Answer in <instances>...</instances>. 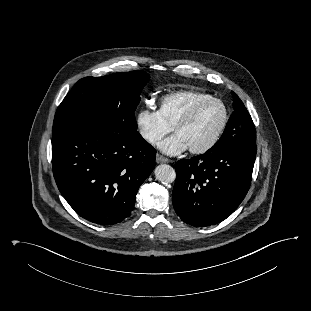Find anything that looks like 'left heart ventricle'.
I'll return each mask as SVG.
<instances>
[{
  "instance_id": "obj_1",
  "label": "left heart ventricle",
  "mask_w": 311,
  "mask_h": 311,
  "mask_svg": "<svg viewBox=\"0 0 311 311\" xmlns=\"http://www.w3.org/2000/svg\"><path fill=\"white\" fill-rule=\"evenodd\" d=\"M223 117V109L217 102L204 105L190 123L176 133L182 137L188 148H197L206 144L214 135Z\"/></svg>"
}]
</instances>
